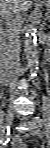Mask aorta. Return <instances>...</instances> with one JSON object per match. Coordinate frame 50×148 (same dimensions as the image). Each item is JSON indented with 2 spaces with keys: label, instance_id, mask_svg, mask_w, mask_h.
Instances as JSON below:
<instances>
[{
  "label": "aorta",
  "instance_id": "obj_1",
  "mask_svg": "<svg viewBox=\"0 0 50 148\" xmlns=\"http://www.w3.org/2000/svg\"><path fill=\"white\" fill-rule=\"evenodd\" d=\"M37 21L38 14L37 12H34L30 18V24L27 27L24 41V52L32 75H34V73L38 70L39 65L37 51Z\"/></svg>",
  "mask_w": 50,
  "mask_h": 148
}]
</instances>
